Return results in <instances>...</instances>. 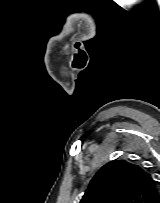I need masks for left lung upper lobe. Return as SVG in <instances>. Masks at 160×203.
<instances>
[{"mask_svg": "<svg viewBox=\"0 0 160 203\" xmlns=\"http://www.w3.org/2000/svg\"><path fill=\"white\" fill-rule=\"evenodd\" d=\"M157 183L140 166L114 160L96 173L80 203H159Z\"/></svg>", "mask_w": 160, "mask_h": 203, "instance_id": "5c2ea615", "label": "left lung upper lobe"}]
</instances>
